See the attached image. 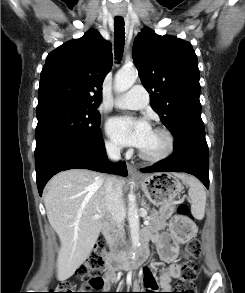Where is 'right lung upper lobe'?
I'll return each instance as SVG.
<instances>
[{
	"label": "right lung upper lobe",
	"instance_id": "right-lung-upper-lobe-1",
	"mask_svg": "<svg viewBox=\"0 0 245 293\" xmlns=\"http://www.w3.org/2000/svg\"><path fill=\"white\" fill-rule=\"evenodd\" d=\"M112 59L111 44L94 29L64 43L46 58L37 109L52 105L94 108L101 102L102 83Z\"/></svg>",
	"mask_w": 245,
	"mask_h": 293
}]
</instances>
